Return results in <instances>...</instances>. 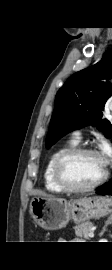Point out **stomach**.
Instances as JSON below:
<instances>
[{"instance_id": "stomach-1", "label": "stomach", "mask_w": 112, "mask_h": 270, "mask_svg": "<svg viewBox=\"0 0 112 270\" xmlns=\"http://www.w3.org/2000/svg\"><path fill=\"white\" fill-rule=\"evenodd\" d=\"M30 212L36 224L47 230L64 228L70 220L81 223L112 213V199L101 196L71 201L54 197H35Z\"/></svg>"}]
</instances>
